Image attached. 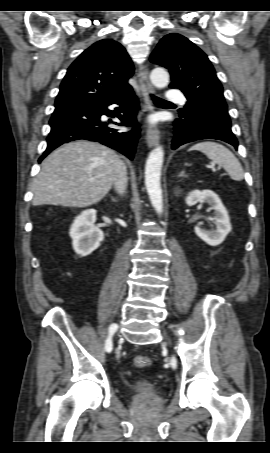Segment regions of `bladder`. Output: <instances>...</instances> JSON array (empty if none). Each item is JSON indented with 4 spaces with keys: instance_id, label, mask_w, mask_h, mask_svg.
<instances>
[{
    "instance_id": "bladder-1",
    "label": "bladder",
    "mask_w": 270,
    "mask_h": 453,
    "mask_svg": "<svg viewBox=\"0 0 270 453\" xmlns=\"http://www.w3.org/2000/svg\"><path fill=\"white\" fill-rule=\"evenodd\" d=\"M130 391L133 395L156 397L158 396L157 386L148 380H138L131 387Z\"/></svg>"
}]
</instances>
